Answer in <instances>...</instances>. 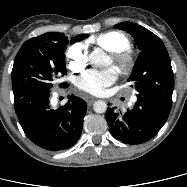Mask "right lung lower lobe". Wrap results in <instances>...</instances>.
I'll list each match as a JSON object with an SVG mask.
<instances>
[{"instance_id":"98d812e1","label":"right lung lower lobe","mask_w":187,"mask_h":187,"mask_svg":"<svg viewBox=\"0 0 187 187\" xmlns=\"http://www.w3.org/2000/svg\"><path fill=\"white\" fill-rule=\"evenodd\" d=\"M49 96L50 90L29 93L15 100V112L33 143L49 151L65 150L81 135L87 105L83 99L69 96L64 106L52 109Z\"/></svg>"}]
</instances>
